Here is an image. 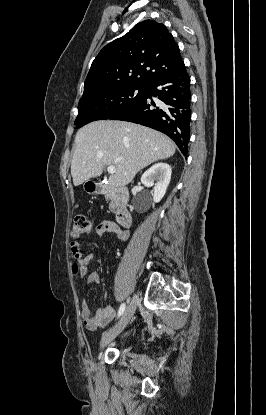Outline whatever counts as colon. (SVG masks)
Masks as SVG:
<instances>
[{
  "label": "colon",
  "mask_w": 266,
  "mask_h": 415,
  "mask_svg": "<svg viewBox=\"0 0 266 415\" xmlns=\"http://www.w3.org/2000/svg\"><path fill=\"white\" fill-rule=\"evenodd\" d=\"M92 225L90 221L83 215L75 216L72 225V235L80 237L91 232Z\"/></svg>",
  "instance_id": "5ec220e1"
}]
</instances>
